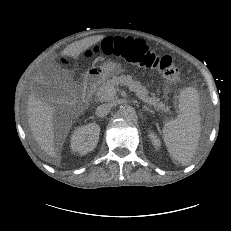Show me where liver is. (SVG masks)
Returning a JSON list of instances; mask_svg holds the SVG:
<instances>
[{
    "label": "liver",
    "mask_w": 231,
    "mask_h": 231,
    "mask_svg": "<svg viewBox=\"0 0 231 231\" xmlns=\"http://www.w3.org/2000/svg\"><path fill=\"white\" fill-rule=\"evenodd\" d=\"M104 37L103 35H96L76 41L69 44L61 54L76 59L86 49L95 45ZM54 111V106L43 102L34 94L28 97L27 115L33 137L46 156L58 161L59 156L54 144Z\"/></svg>",
    "instance_id": "1"
}]
</instances>
